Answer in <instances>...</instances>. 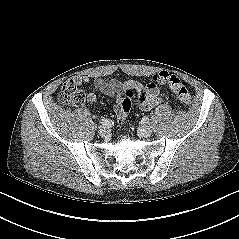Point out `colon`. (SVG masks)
Segmentation results:
<instances>
[{
    "mask_svg": "<svg viewBox=\"0 0 239 239\" xmlns=\"http://www.w3.org/2000/svg\"><path fill=\"white\" fill-rule=\"evenodd\" d=\"M153 81L159 84L167 83L172 92L182 103H191L192 98L190 92L175 74L167 71H161L153 76ZM132 98V90H126L125 96L120 102L117 117L118 125L124 124L132 106ZM58 100L65 105L80 106L85 103L86 95L75 80L69 79L62 84Z\"/></svg>",
    "mask_w": 239,
    "mask_h": 239,
    "instance_id": "colon-1",
    "label": "colon"
}]
</instances>
